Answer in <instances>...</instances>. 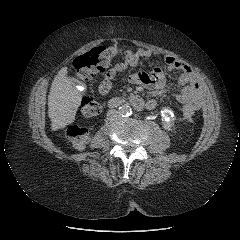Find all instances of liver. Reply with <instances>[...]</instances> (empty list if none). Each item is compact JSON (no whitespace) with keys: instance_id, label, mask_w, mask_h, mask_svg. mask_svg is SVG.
Listing matches in <instances>:
<instances>
[{"instance_id":"6515ba94","label":"liver","mask_w":240,"mask_h":240,"mask_svg":"<svg viewBox=\"0 0 240 240\" xmlns=\"http://www.w3.org/2000/svg\"><path fill=\"white\" fill-rule=\"evenodd\" d=\"M63 67L54 78L48 95V115L51 119V130L56 131L75 121L82 94L73 79L67 76Z\"/></svg>"}]
</instances>
